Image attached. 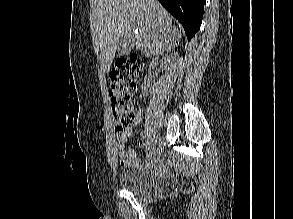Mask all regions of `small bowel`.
Returning <instances> with one entry per match:
<instances>
[{
    "label": "small bowel",
    "instance_id": "1",
    "mask_svg": "<svg viewBox=\"0 0 293 219\" xmlns=\"http://www.w3.org/2000/svg\"><path fill=\"white\" fill-rule=\"evenodd\" d=\"M113 112L115 115H117V111L115 107H113ZM142 117H143V112L141 109H139L136 113L135 121L131 126L125 129H120L117 126V124L115 126V131L117 134L118 153L120 157V163L123 167H133V166L139 165L135 151L127 150L126 144H127L128 137L131 133V130L140 124ZM142 137L144 138V135H142ZM142 143H143V140H141L140 144Z\"/></svg>",
    "mask_w": 293,
    "mask_h": 219
}]
</instances>
